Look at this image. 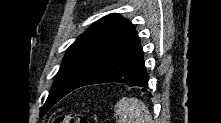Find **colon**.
<instances>
[{"label": "colon", "mask_w": 221, "mask_h": 123, "mask_svg": "<svg viewBox=\"0 0 221 123\" xmlns=\"http://www.w3.org/2000/svg\"><path fill=\"white\" fill-rule=\"evenodd\" d=\"M54 123H89V121L79 114L71 113L57 116Z\"/></svg>", "instance_id": "5ec220e1"}]
</instances>
